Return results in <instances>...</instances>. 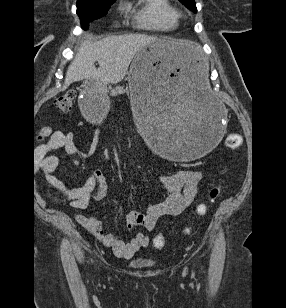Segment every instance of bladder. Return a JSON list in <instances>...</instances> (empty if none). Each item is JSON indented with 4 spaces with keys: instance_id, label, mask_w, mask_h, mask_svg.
Returning <instances> with one entry per match:
<instances>
[{
    "instance_id": "1",
    "label": "bladder",
    "mask_w": 286,
    "mask_h": 308,
    "mask_svg": "<svg viewBox=\"0 0 286 308\" xmlns=\"http://www.w3.org/2000/svg\"><path fill=\"white\" fill-rule=\"evenodd\" d=\"M129 264L138 269H146L153 267L155 265V261L145 257H138L130 260Z\"/></svg>"
}]
</instances>
